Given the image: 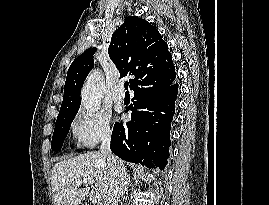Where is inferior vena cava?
<instances>
[{
  "label": "inferior vena cava",
  "mask_w": 269,
  "mask_h": 205,
  "mask_svg": "<svg viewBox=\"0 0 269 205\" xmlns=\"http://www.w3.org/2000/svg\"><path fill=\"white\" fill-rule=\"evenodd\" d=\"M110 142L111 132L107 131L102 137L100 152L110 167L112 179L103 205H118L127 188V173L123 162L112 154Z\"/></svg>",
  "instance_id": "obj_1"
}]
</instances>
